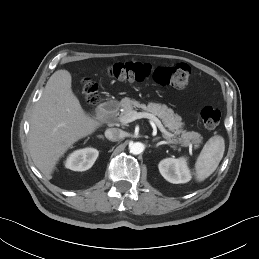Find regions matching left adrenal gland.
Segmentation results:
<instances>
[{"label":"left adrenal gland","mask_w":259,"mask_h":259,"mask_svg":"<svg viewBox=\"0 0 259 259\" xmlns=\"http://www.w3.org/2000/svg\"><path fill=\"white\" fill-rule=\"evenodd\" d=\"M159 140V137H156L152 140V142H155V141H158Z\"/></svg>","instance_id":"obj_1"}]
</instances>
